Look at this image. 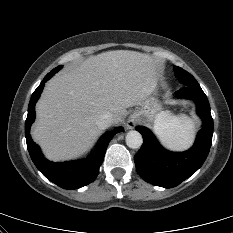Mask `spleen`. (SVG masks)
I'll use <instances>...</instances> for the list:
<instances>
[{"instance_id":"spleen-1","label":"spleen","mask_w":233,"mask_h":233,"mask_svg":"<svg viewBox=\"0 0 233 233\" xmlns=\"http://www.w3.org/2000/svg\"><path fill=\"white\" fill-rule=\"evenodd\" d=\"M154 131L165 147L184 150L193 141L195 125L187 116L162 114L156 120Z\"/></svg>"}]
</instances>
